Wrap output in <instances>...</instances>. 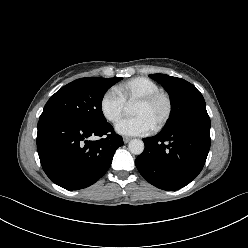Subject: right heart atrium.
<instances>
[{
    "label": "right heart atrium",
    "instance_id": "d8ad5b80",
    "mask_svg": "<svg viewBox=\"0 0 248 248\" xmlns=\"http://www.w3.org/2000/svg\"><path fill=\"white\" fill-rule=\"evenodd\" d=\"M125 108L126 103L115 90L109 89L102 95L100 111L108 122H117L121 118Z\"/></svg>",
    "mask_w": 248,
    "mask_h": 248
}]
</instances>
